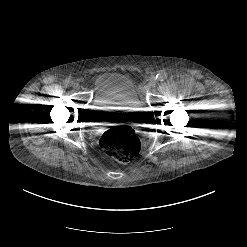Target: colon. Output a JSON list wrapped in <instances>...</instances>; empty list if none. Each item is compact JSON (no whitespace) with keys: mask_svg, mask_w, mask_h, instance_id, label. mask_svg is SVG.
Returning <instances> with one entry per match:
<instances>
[{"mask_svg":"<svg viewBox=\"0 0 247 247\" xmlns=\"http://www.w3.org/2000/svg\"><path fill=\"white\" fill-rule=\"evenodd\" d=\"M99 144L111 159L123 164L133 161L141 149L139 137L129 127H116L105 131Z\"/></svg>","mask_w":247,"mask_h":247,"instance_id":"5ec220e1","label":"colon"}]
</instances>
